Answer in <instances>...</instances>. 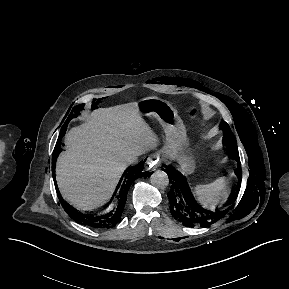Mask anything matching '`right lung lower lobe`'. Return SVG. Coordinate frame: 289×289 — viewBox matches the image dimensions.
Masks as SVG:
<instances>
[{"mask_svg":"<svg viewBox=\"0 0 289 289\" xmlns=\"http://www.w3.org/2000/svg\"><path fill=\"white\" fill-rule=\"evenodd\" d=\"M67 126V125H66ZM66 126L61 129V133L58 137L54 153H53V159H52V171L53 176L55 178V164L56 159L61 151V139L66 131ZM143 164L136 167H133L130 170H126L119 181V184L117 185V188L113 195V203L111 207L104 213L101 214H95V215H86L83 213H80L78 210L73 208L71 205L66 203L63 198L60 195V192L58 191V197L60 200V203L62 207L65 209L67 214L77 223H80L82 225H88L95 228H110L115 226L118 222L121 220V214L125 206L126 197L128 190L133 183L134 180L144 175L142 172Z\"/></svg>","mask_w":289,"mask_h":289,"instance_id":"98d812e1","label":"right lung lower lobe"}]
</instances>
